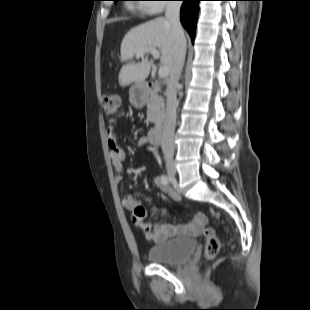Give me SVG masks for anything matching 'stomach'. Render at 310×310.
Segmentation results:
<instances>
[{"mask_svg": "<svg viewBox=\"0 0 310 310\" xmlns=\"http://www.w3.org/2000/svg\"><path fill=\"white\" fill-rule=\"evenodd\" d=\"M131 103L136 107H142L146 102V89L143 84H135L129 90Z\"/></svg>", "mask_w": 310, "mask_h": 310, "instance_id": "stomach-1", "label": "stomach"}]
</instances>
